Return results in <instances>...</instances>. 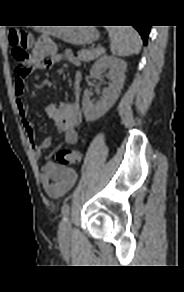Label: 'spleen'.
<instances>
[{"label": "spleen", "instance_id": "obj_1", "mask_svg": "<svg viewBox=\"0 0 184 292\" xmlns=\"http://www.w3.org/2000/svg\"><path fill=\"white\" fill-rule=\"evenodd\" d=\"M107 31L111 38L110 49L113 55L126 57L132 54H139L141 38L133 27H108Z\"/></svg>", "mask_w": 184, "mask_h": 292}]
</instances>
